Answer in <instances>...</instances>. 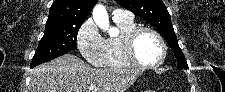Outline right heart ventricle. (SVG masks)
<instances>
[{
    "label": "right heart ventricle",
    "instance_id": "right-heart-ventricle-1",
    "mask_svg": "<svg viewBox=\"0 0 225 92\" xmlns=\"http://www.w3.org/2000/svg\"><path fill=\"white\" fill-rule=\"evenodd\" d=\"M119 34L116 37H109L105 40V56L106 65L111 69H123L132 67L125 59L122 50V40L124 36L133 28L136 27L134 18L114 20Z\"/></svg>",
    "mask_w": 225,
    "mask_h": 92
}]
</instances>
